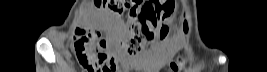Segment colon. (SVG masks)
Here are the masks:
<instances>
[{"instance_id":"obj_1","label":"colon","mask_w":267,"mask_h":72,"mask_svg":"<svg viewBox=\"0 0 267 72\" xmlns=\"http://www.w3.org/2000/svg\"><path fill=\"white\" fill-rule=\"evenodd\" d=\"M96 5L103 9L127 15L126 26L130 38L123 43L127 53H138L145 44L165 38L168 35L166 19L172 12L169 0H97ZM77 44L76 51L81 61L90 67L93 72H114L116 62L106 51L107 44L100 40L97 44L92 41L84 29H77L74 36ZM182 60L174 64V70L183 67Z\"/></svg>"}]
</instances>
